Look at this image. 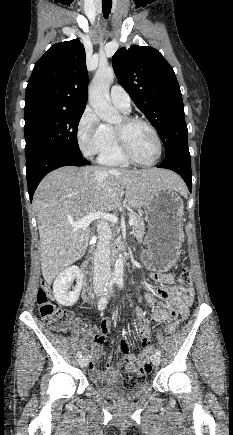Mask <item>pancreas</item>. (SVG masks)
Segmentation results:
<instances>
[{
	"instance_id": "pancreas-1",
	"label": "pancreas",
	"mask_w": 233,
	"mask_h": 435,
	"mask_svg": "<svg viewBox=\"0 0 233 435\" xmlns=\"http://www.w3.org/2000/svg\"><path fill=\"white\" fill-rule=\"evenodd\" d=\"M129 217H130V219H133L135 222L133 227H132V232L134 234V237L138 241H141L143 238V235H144V222H143L142 215L133 213V214H130ZM117 234H118V232H117ZM117 234H114V235H117ZM119 239H120V237H118V239L115 240V245H118L120 243Z\"/></svg>"
}]
</instances>
